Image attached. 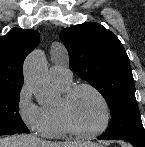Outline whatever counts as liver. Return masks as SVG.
Instances as JSON below:
<instances>
[{
  "label": "liver",
  "mask_w": 145,
  "mask_h": 147,
  "mask_svg": "<svg viewBox=\"0 0 145 147\" xmlns=\"http://www.w3.org/2000/svg\"><path fill=\"white\" fill-rule=\"evenodd\" d=\"M0 147H99L93 142H50L32 135H13L0 138Z\"/></svg>",
  "instance_id": "6515ba94"
}]
</instances>
